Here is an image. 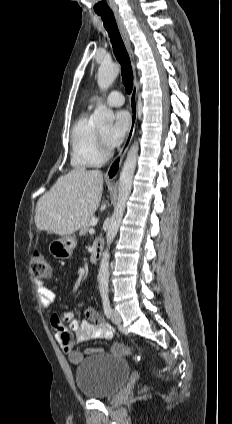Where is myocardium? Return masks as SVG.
I'll return each instance as SVG.
<instances>
[{
	"label": "myocardium",
	"instance_id": "1",
	"mask_svg": "<svg viewBox=\"0 0 232 424\" xmlns=\"http://www.w3.org/2000/svg\"><path fill=\"white\" fill-rule=\"evenodd\" d=\"M98 136V142L101 148V152L104 155V157H109L111 155V149L108 145L107 139L104 138V136L101 134V132L97 131Z\"/></svg>",
	"mask_w": 232,
	"mask_h": 424
}]
</instances>
